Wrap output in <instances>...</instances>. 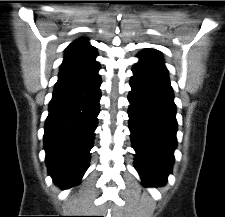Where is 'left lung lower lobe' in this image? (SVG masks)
Segmentation results:
<instances>
[{
  "label": "left lung lower lobe",
  "instance_id": "0a47b994",
  "mask_svg": "<svg viewBox=\"0 0 225 217\" xmlns=\"http://www.w3.org/2000/svg\"><path fill=\"white\" fill-rule=\"evenodd\" d=\"M129 129L143 183L163 185L176 148V107L164 64L138 62L130 80Z\"/></svg>",
  "mask_w": 225,
  "mask_h": 217
}]
</instances>
